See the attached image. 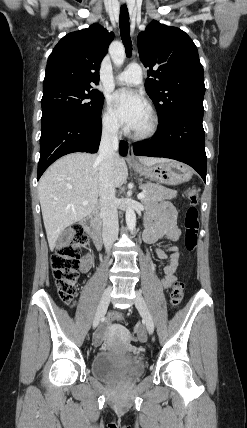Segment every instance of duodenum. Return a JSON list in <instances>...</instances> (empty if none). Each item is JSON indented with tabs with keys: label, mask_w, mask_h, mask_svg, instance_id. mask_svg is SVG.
Returning <instances> with one entry per match:
<instances>
[{
	"label": "duodenum",
	"mask_w": 247,
	"mask_h": 428,
	"mask_svg": "<svg viewBox=\"0 0 247 428\" xmlns=\"http://www.w3.org/2000/svg\"><path fill=\"white\" fill-rule=\"evenodd\" d=\"M82 224L90 233L96 248L100 249L103 245V235L98 223L97 213H92L84 218Z\"/></svg>",
	"instance_id": "obj_1"
}]
</instances>
